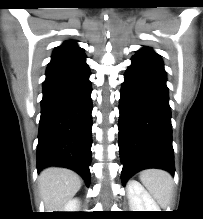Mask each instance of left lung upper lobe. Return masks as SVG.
<instances>
[{"label":"left lung upper lobe","instance_id":"1","mask_svg":"<svg viewBox=\"0 0 203 219\" xmlns=\"http://www.w3.org/2000/svg\"><path fill=\"white\" fill-rule=\"evenodd\" d=\"M134 56H140V57H145V58H150V59L161 61L160 56L149 47H144L140 49L138 53L135 54Z\"/></svg>","mask_w":203,"mask_h":219}]
</instances>
